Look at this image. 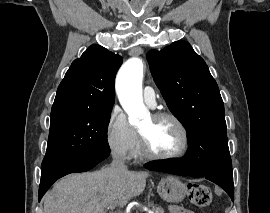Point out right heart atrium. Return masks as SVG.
I'll return each instance as SVG.
<instances>
[{
	"label": "right heart atrium",
	"mask_w": 270,
	"mask_h": 213,
	"mask_svg": "<svg viewBox=\"0 0 270 213\" xmlns=\"http://www.w3.org/2000/svg\"><path fill=\"white\" fill-rule=\"evenodd\" d=\"M105 134L108 148L113 156L121 160L132 158L137 144V132L118 105L111 110Z\"/></svg>",
	"instance_id": "d8ad5b80"
}]
</instances>
